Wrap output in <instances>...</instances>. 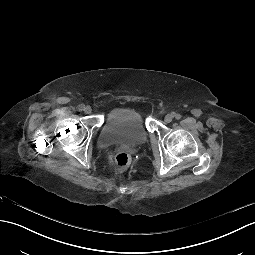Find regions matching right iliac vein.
Here are the masks:
<instances>
[{"label":"right iliac vein","mask_w":255,"mask_h":255,"mask_svg":"<svg viewBox=\"0 0 255 255\" xmlns=\"http://www.w3.org/2000/svg\"><path fill=\"white\" fill-rule=\"evenodd\" d=\"M91 111H92V108H91L90 106H86V107L84 108V112H85L86 114H90Z\"/></svg>","instance_id":"right-iliac-vein-1"}]
</instances>
